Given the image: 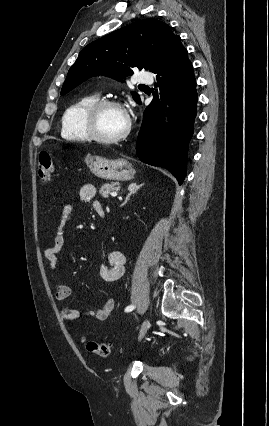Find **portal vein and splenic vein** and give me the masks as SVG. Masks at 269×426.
I'll use <instances>...</instances> for the list:
<instances>
[{"label":"portal vein and splenic vein","instance_id":"portal-vein-and-splenic-vein-1","mask_svg":"<svg viewBox=\"0 0 269 426\" xmlns=\"http://www.w3.org/2000/svg\"><path fill=\"white\" fill-rule=\"evenodd\" d=\"M110 195H111L112 197H116V196H117V192H112V193H110Z\"/></svg>","mask_w":269,"mask_h":426}]
</instances>
